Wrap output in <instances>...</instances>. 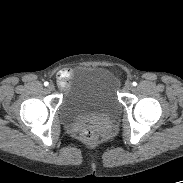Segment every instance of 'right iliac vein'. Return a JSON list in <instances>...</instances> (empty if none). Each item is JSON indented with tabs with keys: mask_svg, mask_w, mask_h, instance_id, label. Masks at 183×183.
I'll list each match as a JSON object with an SVG mask.
<instances>
[{
	"mask_svg": "<svg viewBox=\"0 0 183 183\" xmlns=\"http://www.w3.org/2000/svg\"><path fill=\"white\" fill-rule=\"evenodd\" d=\"M55 89V86L53 84L48 85V90L53 91Z\"/></svg>",
	"mask_w": 183,
	"mask_h": 183,
	"instance_id": "right-iliac-vein-1",
	"label": "right iliac vein"
}]
</instances>
